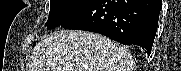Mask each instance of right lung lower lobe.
I'll return each instance as SVG.
<instances>
[{
    "mask_svg": "<svg viewBox=\"0 0 181 71\" xmlns=\"http://www.w3.org/2000/svg\"><path fill=\"white\" fill-rule=\"evenodd\" d=\"M162 0H93L62 23L66 29L103 34L125 45H138L150 55Z\"/></svg>",
    "mask_w": 181,
    "mask_h": 71,
    "instance_id": "obj_1",
    "label": "right lung lower lobe"
}]
</instances>
